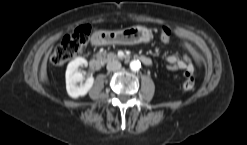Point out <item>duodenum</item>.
Returning <instances> with one entry per match:
<instances>
[{
    "label": "duodenum",
    "mask_w": 247,
    "mask_h": 145,
    "mask_svg": "<svg viewBox=\"0 0 247 145\" xmlns=\"http://www.w3.org/2000/svg\"><path fill=\"white\" fill-rule=\"evenodd\" d=\"M92 43L94 45H100L101 44V38L97 35H94L93 38H92ZM136 58L138 60H140L144 65L146 66H152V60L151 58L145 56V55H139V56H136ZM90 67L91 69L97 71V70H100L101 67H102V61L100 59H92L90 61Z\"/></svg>",
    "instance_id": "410a0bca"
}]
</instances>
